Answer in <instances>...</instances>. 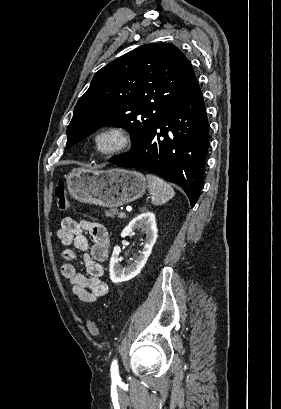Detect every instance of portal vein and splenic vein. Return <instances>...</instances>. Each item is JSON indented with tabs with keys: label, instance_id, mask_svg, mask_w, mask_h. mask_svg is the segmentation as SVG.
Masks as SVG:
<instances>
[{
	"label": "portal vein and splenic vein",
	"instance_id": "1",
	"mask_svg": "<svg viewBox=\"0 0 281 409\" xmlns=\"http://www.w3.org/2000/svg\"><path fill=\"white\" fill-rule=\"evenodd\" d=\"M119 216H120L121 220H126L127 219V213L126 212H120Z\"/></svg>",
	"mask_w": 281,
	"mask_h": 409
}]
</instances>
